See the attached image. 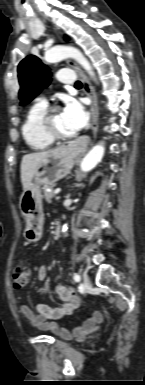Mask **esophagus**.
<instances>
[{
	"label": "esophagus",
	"mask_w": 145,
	"mask_h": 385,
	"mask_svg": "<svg viewBox=\"0 0 145 385\" xmlns=\"http://www.w3.org/2000/svg\"><path fill=\"white\" fill-rule=\"evenodd\" d=\"M67 64L74 69V71L78 74L80 77L82 83H83V91L84 93L91 99V129L93 132V135L96 136V133L98 131V119H99V109H98V101H97V95L95 92L94 87L91 85L89 79L84 74V72L81 70V68L72 60H67ZM73 147L77 150H82L83 146L80 144H72Z\"/></svg>",
	"instance_id": "obj_1"
}]
</instances>
